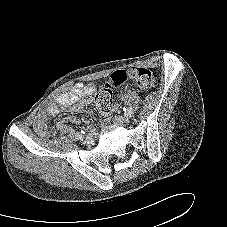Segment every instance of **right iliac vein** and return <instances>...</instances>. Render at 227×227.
Wrapping results in <instances>:
<instances>
[{"label":"right iliac vein","instance_id":"obj_1","mask_svg":"<svg viewBox=\"0 0 227 227\" xmlns=\"http://www.w3.org/2000/svg\"><path fill=\"white\" fill-rule=\"evenodd\" d=\"M80 140L85 143H90L92 138L90 136H83Z\"/></svg>","mask_w":227,"mask_h":227}]
</instances>
